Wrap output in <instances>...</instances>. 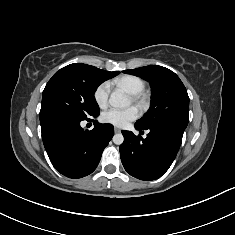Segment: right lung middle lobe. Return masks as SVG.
<instances>
[{
	"mask_svg": "<svg viewBox=\"0 0 235 235\" xmlns=\"http://www.w3.org/2000/svg\"><path fill=\"white\" fill-rule=\"evenodd\" d=\"M104 79L71 69L62 68L49 80L42 96L40 121L62 119L88 120L99 115L94 93Z\"/></svg>",
	"mask_w": 235,
	"mask_h": 235,
	"instance_id": "obj_1",
	"label": "right lung middle lobe"
}]
</instances>
